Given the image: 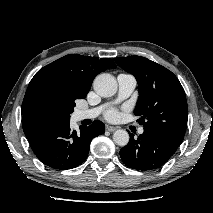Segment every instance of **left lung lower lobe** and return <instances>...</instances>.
Wrapping results in <instances>:
<instances>
[{
    "label": "left lung lower lobe",
    "instance_id": "0a47b994",
    "mask_svg": "<svg viewBox=\"0 0 213 213\" xmlns=\"http://www.w3.org/2000/svg\"><path fill=\"white\" fill-rule=\"evenodd\" d=\"M181 142L173 134L144 128L138 138L130 133V141L120 150V157L130 168L153 170L167 162Z\"/></svg>",
    "mask_w": 213,
    "mask_h": 213
}]
</instances>
